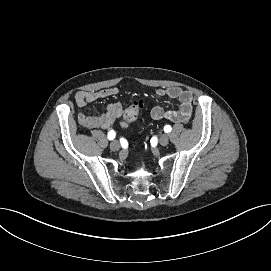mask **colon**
<instances>
[{
	"mask_svg": "<svg viewBox=\"0 0 271 271\" xmlns=\"http://www.w3.org/2000/svg\"><path fill=\"white\" fill-rule=\"evenodd\" d=\"M142 107L143 102L141 101L133 102L129 105L124 111L122 125L127 127L129 124L134 122L138 118Z\"/></svg>",
	"mask_w": 271,
	"mask_h": 271,
	"instance_id": "colon-1",
	"label": "colon"
}]
</instances>
